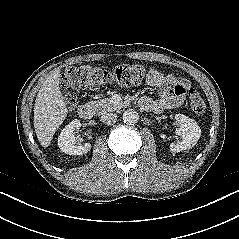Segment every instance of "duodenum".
Listing matches in <instances>:
<instances>
[{
  "label": "duodenum",
  "instance_id": "410a0bca",
  "mask_svg": "<svg viewBox=\"0 0 239 239\" xmlns=\"http://www.w3.org/2000/svg\"><path fill=\"white\" fill-rule=\"evenodd\" d=\"M93 112V107L89 104H82L78 107V115L85 120L91 119Z\"/></svg>",
  "mask_w": 239,
  "mask_h": 239
}]
</instances>
